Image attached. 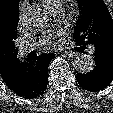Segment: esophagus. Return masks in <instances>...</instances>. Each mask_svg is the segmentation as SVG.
<instances>
[{
	"instance_id": "obj_1",
	"label": "esophagus",
	"mask_w": 113,
	"mask_h": 113,
	"mask_svg": "<svg viewBox=\"0 0 113 113\" xmlns=\"http://www.w3.org/2000/svg\"><path fill=\"white\" fill-rule=\"evenodd\" d=\"M65 55H67L68 57H74L77 55V52L72 51V50H67L63 52Z\"/></svg>"
}]
</instances>
